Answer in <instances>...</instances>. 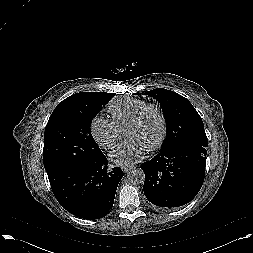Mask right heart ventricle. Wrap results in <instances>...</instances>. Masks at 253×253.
Listing matches in <instances>:
<instances>
[{
  "mask_svg": "<svg viewBox=\"0 0 253 253\" xmlns=\"http://www.w3.org/2000/svg\"><path fill=\"white\" fill-rule=\"evenodd\" d=\"M145 104L144 100L125 96L112 101L108 110L113 123L121 130L126 127L135 113Z\"/></svg>",
  "mask_w": 253,
  "mask_h": 253,
  "instance_id": "1",
  "label": "right heart ventricle"
}]
</instances>
